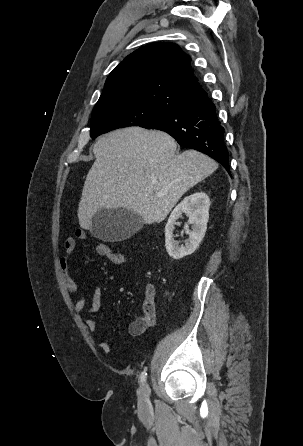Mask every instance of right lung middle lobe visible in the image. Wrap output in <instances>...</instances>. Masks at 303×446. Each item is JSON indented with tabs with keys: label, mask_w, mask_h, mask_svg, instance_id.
Here are the masks:
<instances>
[{
	"label": "right lung middle lobe",
	"mask_w": 303,
	"mask_h": 446,
	"mask_svg": "<svg viewBox=\"0 0 303 446\" xmlns=\"http://www.w3.org/2000/svg\"><path fill=\"white\" fill-rule=\"evenodd\" d=\"M165 112L167 111L142 104H109L94 108L91 138L94 139L103 133L123 127L141 126Z\"/></svg>",
	"instance_id": "dd1d6c3e"
}]
</instances>
